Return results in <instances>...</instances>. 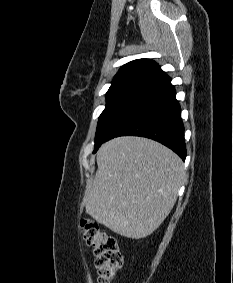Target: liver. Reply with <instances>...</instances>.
<instances>
[{"instance_id":"obj_1","label":"liver","mask_w":233,"mask_h":283,"mask_svg":"<svg viewBox=\"0 0 233 283\" xmlns=\"http://www.w3.org/2000/svg\"><path fill=\"white\" fill-rule=\"evenodd\" d=\"M98 169L84 202L86 212L121 236L140 239L165 220L185 178L182 160L166 146L123 136L97 152Z\"/></svg>"}]
</instances>
